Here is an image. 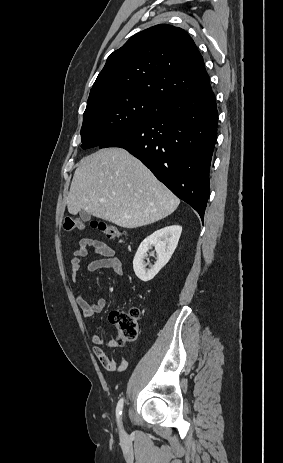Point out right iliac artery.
I'll return each instance as SVG.
<instances>
[{
    "instance_id": "obj_1",
    "label": "right iliac artery",
    "mask_w": 283,
    "mask_h": 463,
    "mask_svg": "<svg viewBox=\"0 0 283 463\" xmlns=\"http://www.w3.org/2000/svg\"><path fill=\"white\" fill-rule=\"evenodd\" d=\"M123 398H121L117 404V407H116V416H117V420L119 422V419H120V416L122 414V409H123Z\"/></svg>"
}]
</instances>
